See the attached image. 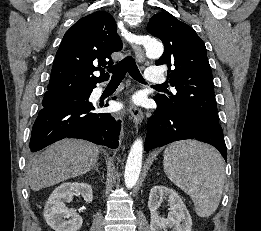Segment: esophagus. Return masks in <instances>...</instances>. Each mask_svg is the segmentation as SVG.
Returning <instances> with one entry per match:
<instances>
[{
    "instance_id": "1",
    "label": "esophagus",
    "mask_w": 261,
    "mask_h": 231,
    "mask_svg": "<svg viewBox=\"0 0 261 231\" xmlns=\"http://www.w3.org/2000/svg\"><path fill=\"white\" fill-rule=\"evenodd\" d=\"M130 44L135 53L137 61L139 63H143L145 60V56H144V53H143L140 45L137 43V40L135 37L130 40ZM129 110H130L131 117H132L133 121L135 122V124L140 125L141 122L143 121L142 110L133 104L130 105Z\"/></svg>"
}]
</instances>
